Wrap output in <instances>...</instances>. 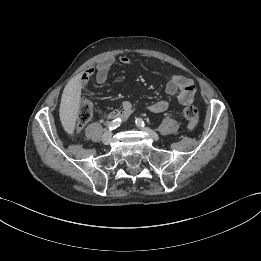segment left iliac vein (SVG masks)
Returning <instances> with one entry per match:
<instances>
[{"instance_id": "left-iliac-vein-1", "label": "left iliac vein", "mask_w": 261, "mask_h": 261, "mask_svg": "<svg viewBox=\"0 0 261 261\" xmlns=\"http://www.w3.org/2000/svg\"><path fill=\"white\" fill-rule=\"evenodd\" d=\"M138 128L145 131L146 133H148L153 140H155V141L159 140L158 134L156 132H154L153 130H151L150 128H148V127L143 128V127H139V126H138Z\"/></svg>"}]
</instances>
